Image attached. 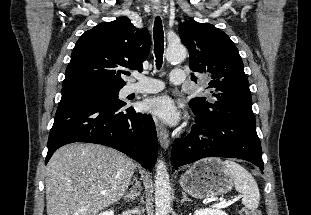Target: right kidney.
Masks as SVG:
<instances>
[{
  "mask_svg": "<svg viewBox=\"0 0 311 215\" xmlns=\"http://www.w3.org/2000/svg\"><path fill=\"white\" fill-rule=\"evenodd\" d=\"M99 215H114V211L113 210H107L105 212L100 213Z\"/></svg>",
  "mask_w": 311,
  "mask_h": 215,
  "instance_id": "1",
  "label": "right kidney"
}]
</instances>
